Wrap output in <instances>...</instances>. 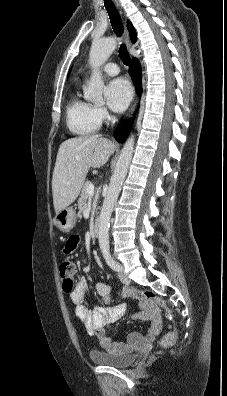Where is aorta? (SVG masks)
Instances as JSON below:
<instances>
[{
    "instance_id": "obj_1",
    "label": "aorta",
    "mask_w": 227,
    "mask_h": 396,
    "mask_svg": "<svg viewBox=\"0 0 227 396\" xmlns=\"http://www.w3.org/2000/svg\"><path fill=\"white\" fill-rule=\"evenodd\" d=\"M116 39L108 37L96 40L92 43L89 53V63L93 69L87 88L84 90V97L93 103L103 101L102 93L104 82L99 68L106 62L116 48ZM134 152V136H130L125 142L121 154L116 163L113 175L111 176L108 191L103 202L100 218L98 240L102 252L109 251V227L110 218L114 205L118 199L122 184L127 175L128 168Z\"/></svg>"
}]
</instances>
